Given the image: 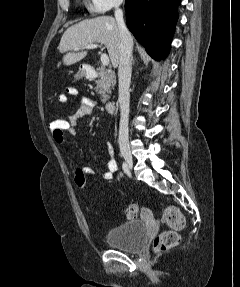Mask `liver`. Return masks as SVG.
Instances as JSON below:
<instances>
[{
	"label": "liver",
	"instance_id": "obj_1",
	"mask_svg": "<svg viewBox=\"0 0 240 287\" xmlns=\"http://www.w3.org/2000/svg\"><path fill=\"white\" fill-rule=\"evenodd\" d=\"M94 43L104 44L112 65L116 67L119 64L120 35L117 22L113 17L100 16L81 21L64 32L58 46L60 53H66L63 56L64 65H72L86 57L87 51L79 52L75 48L81 49Z\"/></svg>",
	"mask_w": 240,
	"mask_h": 287
}]
</instances>
